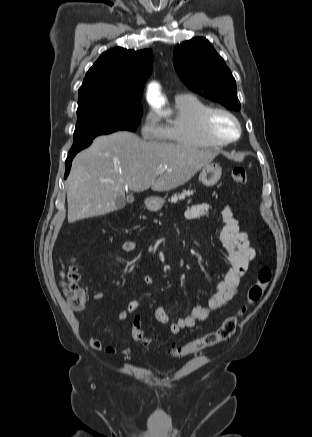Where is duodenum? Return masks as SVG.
Instances as JSON below:
<instances>
[{
    "label": "duodenum",
    "mask_w": 312,
    "mask_h": 437,
    "mask_svg": "<svg viewBox=\"0 0 312 437\" xmlns=\"http://www.w3.org/2000/svg\"><path fill=\"white\" fill-rule=\"evenodd\" d=\"M154 201V199L152 197L147 198V203L148 204H152Z\"/></svg>",
    "instance_id": "duodenum-1"
}]
</instances>
